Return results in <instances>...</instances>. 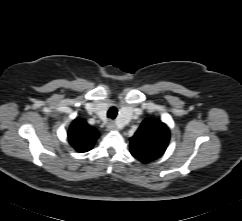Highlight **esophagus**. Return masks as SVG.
Instances as JSON below:
<instances>
[{
	"mask_svg": "<svg viewBox=\"0 0 242 221\" xmlns=\"http://www.w3.org/2000/svg\"><path fill=\"white\" fill-rule=\"evenodd\" d=\"M107 128L109 130H115L116 129V125H115V123L113 121H111V122L107 123Z\"/></svg>",
	"mask_w": 242,
	"mask_h": 221,
	"instance_id": "1",
	"label": "esophagus"
}]
</instances>
